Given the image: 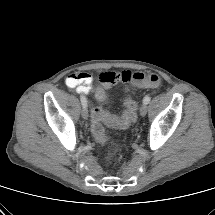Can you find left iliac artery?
I'll use <instances>...</instances> for the list:
<instances>
[{
    "label": "left iliac artery",
    "instance_id": "44dca946",
    "mask_svg": "<svg viewBox=\"0 0 215 215\" xmlns=\"http://www.w3.org/2000/svg\"><path fill=\"white\" fill-rule=\"evenodd\" d=\"M150 100H151V97L149 95H146L143 99V103L148 104L150 102Z\"/></svg>",
    "mask_w": 215,
    "mask_h": 215
}]
</instances>
